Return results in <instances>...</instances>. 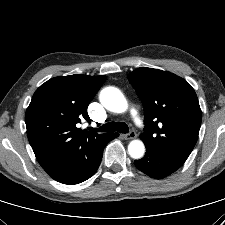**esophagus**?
<instances>
[{"mask_svg":"<svg viewBox=\"0 0 225 225\" xmlns=\"http://www.w3.org/2000/svg\"><path fill=\"white\" fill-rule=\"evenodd\" d=\"M136 136H137V134H136L135 131H131V132L128 133V134L122 135V137H123L124 139H126V140L134 139V138H136Z\"/></svg>","mask_w":225,"mask_h":225,"instance_id":"esophagus-1","label":"esophagus"}]
</instances>
